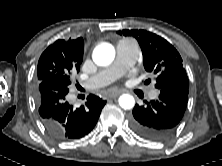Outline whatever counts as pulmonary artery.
I'll list each match as a JSON object with an SVG mask.
<instances>
[{
    "instance_id": "e3ab8cb5",
    "label": "pulmonary artery",
    "mask_w": 222,
    "mask_h": 166,
    "mask_svg": "<svg viewBox=\"0 0 222 166\" xmlns=\"http://www.w3.org/2000/svg\"><path fill=\"white\" fill-rule=\"evenodd\" d=\"M138 56V47L132 40H121L117 43V57L115 62L107 69L92 76L83 85L88 89H97L108 85L121 75L127 68L133 65ZM158 96V91L152 88L148 92V97L154 99Z\"/></svg>"
}]
</instances>
